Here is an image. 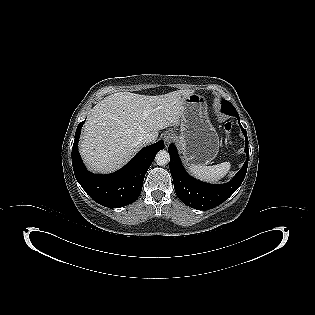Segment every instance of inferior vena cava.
<instances>
[{
	"label": "inferior vena cava",
	"instance_id": "inferior-vena-cava-1",
	"mask_svg": "<svg viewBox=\"0 0 315 315\" xmlns=\"http://www.w3.org/2000/svg\"><path fill=\"white\" fill-rule=\"evenodd\" d=\"M157 137L155 135H152V134H146V135H143L141 138H140V141L141 143H143L144 145H148V144H151V143H154L156 141Z\"/></svg>",
	"mask_w": 315,
	"mask_h": 315
}]
</instances>
